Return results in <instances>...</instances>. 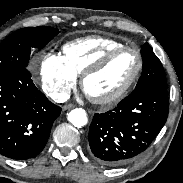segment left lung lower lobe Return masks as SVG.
Returning a JSON list of instances; mask_svg holds the SVG:
<instances>
[{
	"label": "left lung lower lobe",
	"instance_id": "obj_1",
	"mask_svg": "<svg viewBox=\"0 0 183 183\" xmlns=\"http://www.w3.org/2000/svg\"><path fill=\"white\" fill-rule=\"evenodd\" d=\"M168 110L167 88L153 86L135 90L111 111L96 113L89 129L92 156L104 166L132 160L159 134Z\"/></svg>",
	"mask_w": 183,
	"mask_h": 183
}]
</instances>
